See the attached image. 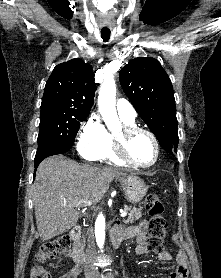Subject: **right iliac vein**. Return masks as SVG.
<instances>
[{
    "label": "right iliac vein",
    "instance_id": "1",
    "mask_svg": "<svg viewBox=\"0 0 221 278\" xmlns=\"http://www.w3.org/2000/svg\"><path fill=\"white\" fill-rule=\"evenodd\" d=\"M86 278H95V276H94V275L89 274V275H87V276H86Z\"/></svg>",
    "mask_w": 221,
    "mask_h": 278
}]
</instances>
